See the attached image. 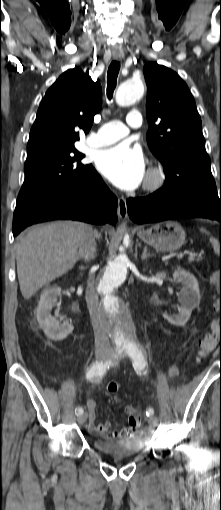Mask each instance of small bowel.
Instances as JSON below:
<instances>
[{"label": "small bowel", "mask_w": 221, "mask_h": 510, "mask_svg": "<svg viewBox=\"0 0 221 510\" xmlns=\"http://www.w3.org/2000/svg\"><path fill=\"white\" fill-rule=\"evenodd\" d=\"M169 374L175 376L177 374V368L175 366L170 367ZM86 407L88 411V428L92 434H95L101 438H129L136 434V429L139 425V417L135 414L137 411L133 406L126 407V413L128 415L127 426L115 431H111V424L104 422L101 424L96 423V409L97 403L93 399L86 401Z\"/></svg>", "instance_id": "c3829d8e"}]
</instances>
